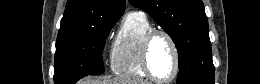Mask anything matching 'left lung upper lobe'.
Listing matches in <instances>:
<instances>
[{
  "mask_svg": "<svg viewBox=\"0 0 260 84\" xmlns=\"http://www.w3.org/2000/svg\"><path fill=\"white\" fill-rule=\"evenodd\" d=\"M172 38L179 54L177 84H214L208 20L201 0H129Z\"/></svg>",
  "mask_w": 260,
  "mask_h": 84,
  "instance_id": "left-lung-upper-lobe-1",
  "label": "left lung upper lobe"
}]
</instances>
